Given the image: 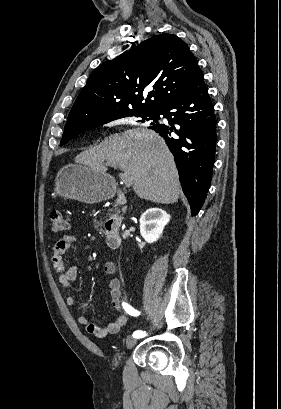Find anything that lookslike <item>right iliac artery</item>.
Wrapping results in <instances>:
<instances>
[{"label": "right iliac artery", "mask_w": 281, "mask_h": 409, "mask_svg": "<svg viewBox=\"0 0 281 409\" xmlns=\"http://www.w3.org/2000/svg\"><path fill=\"white\" fill-rule=\"evenodd\" d=\"M123 308L128 314L132 316H138L140 314L137 310H135L133 307H131L129 304L125 302L123 303ZM145 335H146L145 332L140 331V330H137L133 333L134 338H142Z\"/></svg>", "instance_id": "obj_1"}]
</instances>
